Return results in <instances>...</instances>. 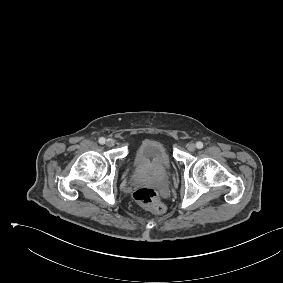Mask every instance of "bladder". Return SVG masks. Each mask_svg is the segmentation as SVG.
Wrapping results in <instances>:
<instances>
[{
    "instance_id": "obj_1",
    "label": "bladder",
    "mask_w": 283,
    "mask_h": 283,
    "mask_svg": "<svg viewBox=\"0 0 283 283\" xmlns=\"http://www.w3.org/2000/svg\"><path fill=\"white\" fill-rule=\"evenodd\" d=\"M171 159L163 143L157 140H142L134 149L133 166L137 172L161 175L171 168Z\"/></svg>"
}]
</instances>
